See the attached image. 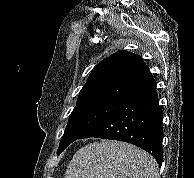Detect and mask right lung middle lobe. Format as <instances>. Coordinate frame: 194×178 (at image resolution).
Here are the masks:
<instances>
[{
    "mask_svg": "<svg viewBox=\"0 0 194 178\" xmlns=\"http://www.w3.org/2000/svg\"><path fill=\"white\" fill-rule=\"evenodd\" d=\"M123 103L118 100L100 98L77 101L61 138L58 154Z\"/></svg>",
    "mask_w": 194,
    "mask_h": 178,
    "instance_id": "right-lung-middle-lobe-1",
    "label": "right lung middle lobe"
}]
</instances>
